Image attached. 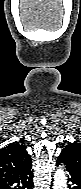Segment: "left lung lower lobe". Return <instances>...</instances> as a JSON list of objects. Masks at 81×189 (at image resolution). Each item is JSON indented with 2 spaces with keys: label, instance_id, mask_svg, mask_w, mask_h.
Listing matches in <instances>:
<instances>
[{
  "label": "left lung lower lobe",
  "instance_id": "left-lung-lower-lobe-1",
  "mask_svg": "<svg viewBox=\"0 0 81 189\" xmlns=\"http://www.w3.org/2000/svg\"><path fill=\"white\" fill-rule=\"evenodd\" d=\"M57 166H64L68 172V181L70 182V189H81V173L74 170L73 167H70L67 159L64 158L62 154H60L57 158L56 162Z\"/></svg>",
  "mask_w": 81,
  "mask_h": 189
}]
</instances>
